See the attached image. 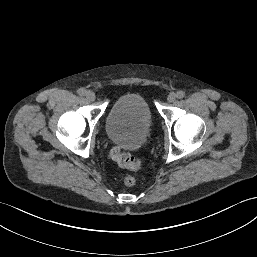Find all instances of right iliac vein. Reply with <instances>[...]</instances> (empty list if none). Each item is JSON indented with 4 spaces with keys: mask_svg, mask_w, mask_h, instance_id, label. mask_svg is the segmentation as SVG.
Segmentation results:
<instances>
[{
    "mask_svg": "<svg viewBox=\"0 0 257 257\" xmlns=\"http://www.w3.org/2000/svg\"><path fill=\"white\" fill-rule=\"evenodd\" d=\"M85 96L86 98L89 100V101H94L95 100V94L92 92V91H87L85 93Z\"/></svg>",
    "mask_w": 257,
    "mask_h": 257,
    "instance_id": "obj_1",
    "label": "right iliac vein"
}]
</instances>
